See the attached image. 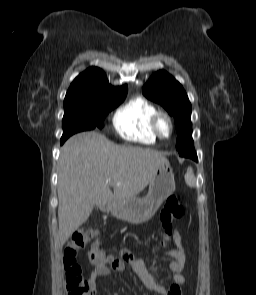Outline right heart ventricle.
Instances as JSON below:
<instances>
[{
    "mask_svg": "<svg viewBox=\"0 0 256 295\" xmlns=\"http://www.w3.org/2000/svg\"><path fill=\"white\" fill-rule=\"evenodd\" d=\"M157 113V108L150 101L138 96L115 113L113 125L118 134L126 140L153 144L157 136L152 128V120Z\"/></svg>",
    "mask_w": 256,
    "mask_h": 295,
    "instance_id": "obj_1",
    "label": "right heart ventricle"
}]
</instances>
